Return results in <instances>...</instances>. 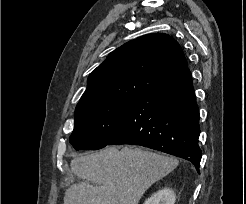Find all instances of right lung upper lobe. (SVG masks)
I'll return each mask as SVG.
<instances>
[{"label":"right lung upper lobe","mask_w":246,"mask_h":204,"mask_svg":"<svg viewBox=\"0 0 246 204\" xmlns=\"http://www.w3.org/2000/svg\"><path fill=\"white\" fill-rule=\"evenodd\" d=\"M184 53L174 38L152 33L111 52L88 77L79 103L106 97L140 96L187 70Z\"/></svg>","instance_id":"cb5924a9"}]
</instances>
